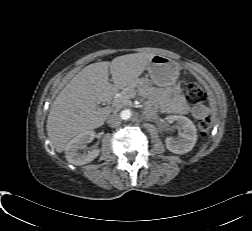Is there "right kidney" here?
<instances>
[{
  "instance_id": "1",
  "label": "right kidney",
  "mask_w": 252,
  "mask_h": 231,
  "mask_svg": "<svg viewBox=\"0 0 252 231\" xmlns=\"http://www.w3.org/2000/svg\"><path fill=\"white\" fill-rule=\"evenodd\" d=\"M94 137L95 132L90 130L77 135L69 141L65 148L66 160L73 165H84L93 161L99 155V149L84 151L82 153L79 150L84 149L86 144L90 143Z\"/></svg>"
}]
</instances>
